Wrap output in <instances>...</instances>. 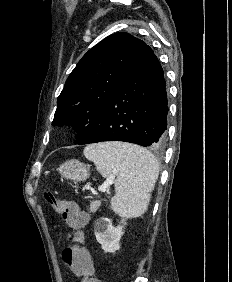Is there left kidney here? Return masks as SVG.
Segmentation results:
<instances>
[{
    "instance_id": "5707ae66",
    "label": "left kidney",
    "mask_w": 232,
    "mask_h": 282,
    "mask_svg": "<svg viewBox=\"0 0 232 282\" xmlns=\"http://www.w3.org/2000/svg\"><path fill=\"white\" fill-rule=\"evenodd\" d=\"M122 224V225H121ZM126 225L124 219L120 225L114 227L112 221L102 218L95 223V237L105 252H115L120 249V238L123 235V228Z\"/></svg>"
}]
</instances>
